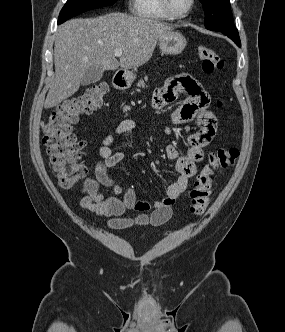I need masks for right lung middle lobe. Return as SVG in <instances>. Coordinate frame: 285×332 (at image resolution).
Segmentation results:
<instances>
[{"label": "right lung middle lobe", "mask_w": 285, "mask_h": 332, "mask_svg": "<svg viewBox=\"0 0 285 332\" xmlns=\"http://www.w3.org/2000/svg\"><path fill=\"white\" fill-rule=\"evenodd\" d=\"M115 2L116 0H68L60 12L58 24L85 11L110 6Z\"/></svg>", "instance_id": "dd1d6c3e"}]
</instances>
